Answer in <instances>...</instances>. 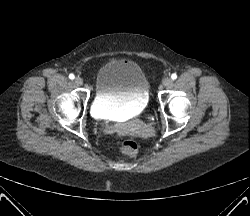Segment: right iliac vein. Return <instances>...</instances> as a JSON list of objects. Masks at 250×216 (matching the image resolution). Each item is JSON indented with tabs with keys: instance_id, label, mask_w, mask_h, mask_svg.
<instances>
[{
	"instance_id": "obj_1",
	"label": "right iliac vein",
	"mask_w": 250,
	"mask_h": 216,
	"mask_svg": "<svg viewBox=\"0 0 250 216\" xmlns=\"http://www.w3.org/2000/svg\"><path fill=\"white\" fill-rule=\"evenodd\" d=\"M74 82L77 84V85H83V79L80 78V77H76Z\"/></svg>"
}]
</instances>
